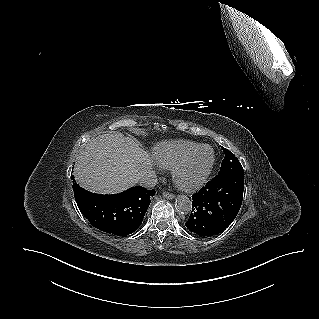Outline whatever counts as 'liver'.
Masks as SVG:
<instances>
[{
    "instance_id": "1",
    "label": "liver",
    "mask_w": 319,
    "mask_h": 319,
    "mask_svg": "<svg viewBox=\"0 0 319 319\" xmlns=\"http://www.w3.org/2000/svg\"><path fill=\"white\" fill-rule=\"evenodd\" d=\"M152 168L149 154L119 133L91 139L77 157L74 175L94 193L113 194L135 186Z\"/></svg>"
}]
</instances>
